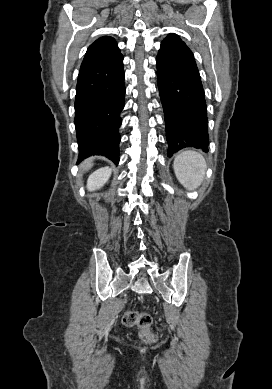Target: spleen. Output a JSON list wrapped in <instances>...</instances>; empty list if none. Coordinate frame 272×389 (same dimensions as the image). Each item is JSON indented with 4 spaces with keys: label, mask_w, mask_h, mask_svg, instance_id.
Instances as JSON below:
<instances>
[{
    "label": "spleen",
    "mask_w": 272,
    "mask_h": 389,
    "mask_svg": "<svg viewBox=\"0 0 272 389\" xmlns=\"http://www.w3.org/2000/svg\"><path fill=\"white\" fill-rule=\"evenodd\" d=\"M173 168L178 181L186 189L193 190L203 181L206 161L197 151L185 150L176 156Z\"/></svg>",
    "instance_id": "1"
}]
</instances>
